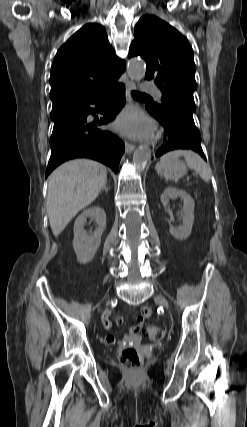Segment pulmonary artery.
<instances>
[{
  "mask_svg": "<svg viewBox=\"0 0 247 427\" xmlns=\"http://www.w3.org/2000/svg\"><path fill=\"white\" fill-rule=\"evenodd\" d=\"M144 90L153 93L159 100L162 98L161 91L153 85L145 84Z\"/></svg>",
  "mask_w": 247,
  "mask_h": 427,
  "instance_id": "pulmonary-artery-1",
  "label": "pulmonary artery"
}]
</instances>
